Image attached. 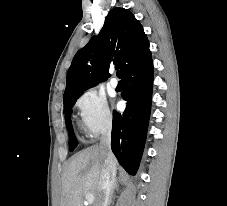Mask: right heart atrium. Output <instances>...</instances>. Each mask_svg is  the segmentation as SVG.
<instances>
[{
    "instance_id": "right-heart-atrium-1",
    "label": "right heart atrium",
    "mask_w": 227,
    "mask_h": 206,
    "mask_svg": "<svg viewBox=\"0 0 227 206\" xmlns=\"http://www.w3.org/2000/svg\"><path fill=\"white\" fill-rule=\"evenodd\" d=\"M81 124L86 133L97 137L110 129L112 113L104 95L95 89L84 91L76 101Z\"/></svg>"
}]
</instances>
